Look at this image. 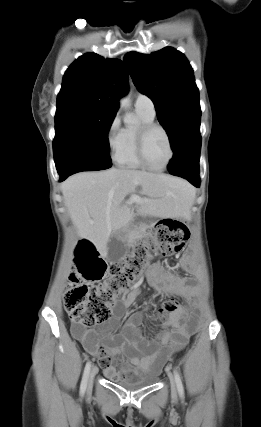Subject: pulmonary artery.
I'll return each instance as SVG.
<instances>
[{"mask_svg":"<svg viewBox=\"0 0 261 427\" xmlns=\"http://www.w3.org/2000/svg\"><path fill=\"white\" fill-rule=\"evenodd\" d=\"M136 110L144 112L149 117H155L156 111L153 101L145 94H138L135 99Z\"/></svg>","mask_w":261,"mask_h":427,"instance_id":"e3ab8cb5","label":"pulmonary artery"}]
</instances>
